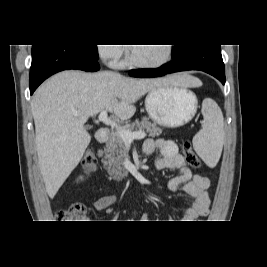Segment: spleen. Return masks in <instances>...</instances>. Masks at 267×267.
Returning a JSON list of instances; mask_svg holds the SVG:
<instances>
[{
    "mask_svg": "<svg viewBox=\"0 0 267 267\" xmlns=\"http://www.w3.org/2000/svg\"><path fill=\"white\" fill-rule=\"evenodd\" d=\"M204 122L202 129L193 138L196 153L209 167H214L219 161L224 140V120L220 108L204 107Z\"/></svg>",
    "mask_w": 267,
    "mask_h": 267,
    "instance_id": "1",
    "label": "spleen"
}]
</instances>
